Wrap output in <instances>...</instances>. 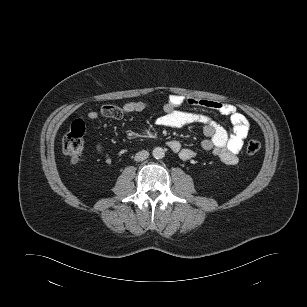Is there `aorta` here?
I'll return each mask as SVG.
<instances>
[{
  "label": "aorta",
  "instance_id": "obj_1",
  "mask_svg": "<svg viewBox=\"0 0 307 307\" xmlns=\"http://www.w3.org/2000/svg\"><path fill=\"white\" fill-rule=\"evenodd\" d=\"M152 155L155 159H162L165 156V151L161 147H156L153 149Z\"/></svg>",
  "mask_w": 307,
  "mask_h": 307
}]
</instances>
